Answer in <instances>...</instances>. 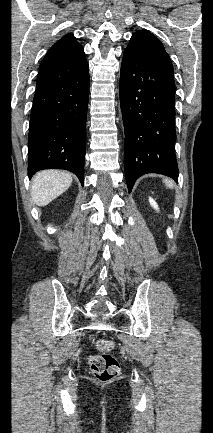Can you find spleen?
I'll return each instance as SVG.
<instances>
[{"label": "spleen", "mask_w": 213, "mask_h": 433, "mask_svg": "<svg viewBox=\"0 0 213 433\" xmlns=\"http://www.w3.org/2000/svg\"><path fill=\"white\" fill-rule=\"evenodd\" d=\"M164 183L166 184L167 187L173 188V182L171 180L165 179Z\"/></svg>", "instance_id": "spleen-1"}]
</instances>
